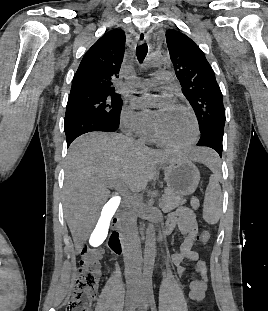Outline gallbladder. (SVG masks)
<instances>
[{"label": "gallbladder", "mask_w": 268, "mask_h": 311, "mask_svg": "<svg viewBox=\"0 0 268 311\" xmlns=\"http://www.w3.org/2000/svg\"><path fill=\"white\" fill-rule=\"evenodd\" d=\"M121 206V199H107L102 205L101 218L97 227L93 228L90 236L92 246H101L103 239H107V234L110 233V222L115 215L117 209Z\"/></svg>", "instance_id": "1"}]
</instances>
